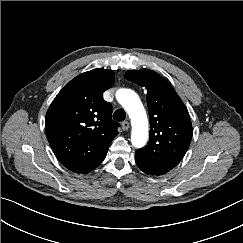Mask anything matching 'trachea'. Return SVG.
<instances>
[{"mask_svg": "<svg viewBox=\"0 0 243 243\" xmlns=\"http://www.w3.org/2000/svg\"><path fill=\"white\" fill-rule=\"evenodd\" d=\"M113 118L119 122L124 121L126 118V113L123 109H117L113 114Z\"/></svg>", "mask_w": 243, "mask_h": 243, "instance_id": "trachea-1", "label": "trachea"}]
</instances>
